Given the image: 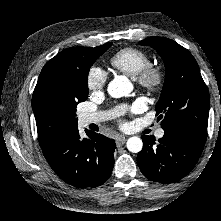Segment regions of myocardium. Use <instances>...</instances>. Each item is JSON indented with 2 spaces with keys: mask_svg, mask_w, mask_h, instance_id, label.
<instances>
[{
  "mask_svg": "<svg viewBox=\"0 0 221 221\" xmlns=\"http://www.w3.org/2000/svg\"><path fill=\"white\" fill-rule=\"evenodd\" d=\"M137 80L143 88L156 91L163 84L164 75L157 66L148 65L140 71Z\"/></svg>",
  "mask_w": 221,
  "mask_h": 221,
  "instance_id": "obj_1",
  "label": "myocardium"
}]
</instances>
